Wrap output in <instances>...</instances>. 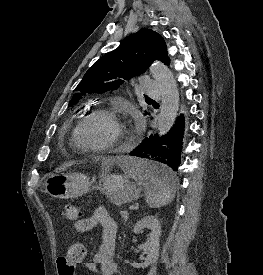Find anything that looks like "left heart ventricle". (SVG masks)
I'll return each instance as SVG.
<instances>
[{"mask_svg":"<svg viewBox=\"0 0 263 275\" xmlns=\"http://www.w3.org/2000/svg\"><path fill=\"white\" fill-rule=\"evenodd\" d=\"M116 135L114 124L105 117H95L81 128L79 136L84 144L103 145Z\"/></svg>","mask_w":263,"mask_h":275,"instance_id":"obj_1","label":"left heart ventricle"}]
</instances>
